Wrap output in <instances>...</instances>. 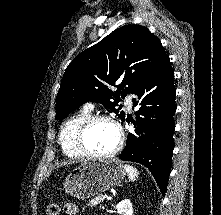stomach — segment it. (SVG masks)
Wrapping results in <instances>:
<instances>
[{"label": "stomach", "instance_id": "1", "mask_svg": "<svg viewBox=\"0 0 221 215\" xmlns=\"http://www.w3.org/2000/svg\"><path fill=\"white\" fill-rule=\"evenodd\" d=\"M125 175V168L115 159L87 160L67 175L64 188L71 196L84 200L120 184Z\"/></svg>", "mask_w": 221, "mask_h": 215}]
</instances>
